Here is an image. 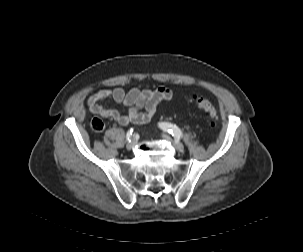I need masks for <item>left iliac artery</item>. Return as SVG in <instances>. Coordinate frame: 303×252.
Instances as JSON below:
<instances>
[{"mask_svg": "<svg viewBox=\"0 0 303 252\" xmlns=\"http://www.w3.org/2000/svg\"><path fill=\"white\" fill-rule=\"evenodd\" d=\"M159 125L163 130L168 131L169 133H171L172 136H174L176 139H181L182 138V136H183L182 132L176 125H173V124L167 123V122H162Z\"/></svg>", "mask_w": 303, "mask_h": 252, "instance_id": "44dca946", "label": "left iliac artery"}]
</instances>
